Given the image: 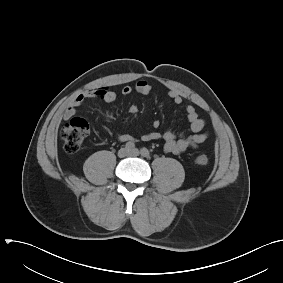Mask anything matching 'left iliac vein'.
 <instances>
[{
	"label": "left iliac vein",
	"mask_w": 283,
	"mask_h": 283,
	"mask_svg": "<svg viewBox=\"0 0 283 283\" xmlns=\"http://www.w3.org/2000/svg\"><path fill=\"white\" fill-rule=\"evenodd\" d=\"M130 155L131 156H139L140 155V151L138 149H133L131 152H130Z\"/></svg>",
	"instance_id": "4c4485c4"
}]
</instances>
